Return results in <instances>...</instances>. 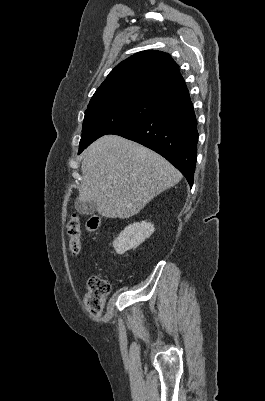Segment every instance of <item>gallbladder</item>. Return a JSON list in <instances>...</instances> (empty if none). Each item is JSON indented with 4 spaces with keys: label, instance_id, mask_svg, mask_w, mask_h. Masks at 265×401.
<instances>
[{
    "label": "gallbladder",
    "instance_id": "bac80fb5",
    "mask_svg": "<svg viewBox=\"0 0 265 401\" xmlns=\"http://www.w3.org/2000/svg\"><path fill=\"white\" fill-rule=\"evenodd\" d=\"M75 209L77 213H80V215H94L97 211V203H95V201H91V203H82L78 196L75 201Z\"/></svg>",
    "mask_w": 265,
    "mask_h": 401
}]
</instances>
